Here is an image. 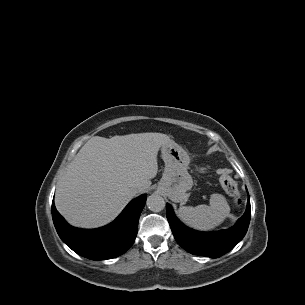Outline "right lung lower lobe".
Returning <instances> with one entry per match:
<instances>
[{"label":"right lung lower lobe","instance_id":"98d812e1","mask_svg":"<svg viewBox=\"0 0 305 305\" xmlns=\"http://www.w3.org/2000/svg\"><path fill=\"white\" fill-rule=\"evenodd\" d=\"M147 195L132 200L110 224L97 229L70 226L52 203V218L62 241L77 254L92 259L106 260L125 253L134 243L140 213Z\"/></svg>","mask_w":305,"mask_h":305}]
</instances>
